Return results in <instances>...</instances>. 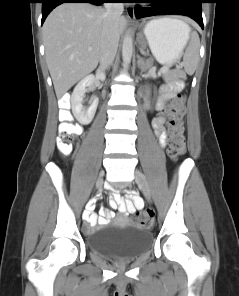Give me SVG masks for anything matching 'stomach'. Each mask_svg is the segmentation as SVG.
<instances>
[{
	"label": "stomach",
	"mask_w": 239,
	"mask_h": 296,
	"mask_svg": "<svg viewBox=\"0 0 239 296\" xmlns=\"http://www.w3.org/2000/svg\"><path fill=\"white\" fill-rule=\"evenodd\" d=\"M140 37H146L158 62L172 64L182 53L188 40V31L183 22L163 17L149 21Z\"/></svg>",
	"instance_id": "1"
}]
</instances>
